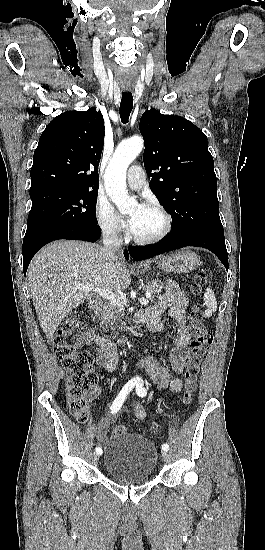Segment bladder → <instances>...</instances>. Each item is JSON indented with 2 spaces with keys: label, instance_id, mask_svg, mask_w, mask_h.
<instances>
[{
  "label": "bladder",
  "instance_id": "obj_1",
  "mask_svg": "<svg viewBox=\"0 0 265 550\" xmlns=\"http://www.w3.org/2000/svg\"><path fill=\"white\" fill-rule=\"evenodd\" d=\"M157 465V451L144 436L111 437L103 450V467L116 481L135 484L148 480Z\"/></svg>",
  "mask_w": 265,
  "mask_h": 550
}]
</instances>
